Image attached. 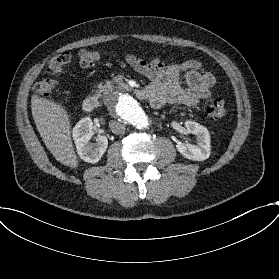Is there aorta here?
<instances>
[{
	"label": "aorta",
	"mask_w": 279,
	"mask_h": 279,
	"mask_svg": "<svg viewBox=\"0 0 279 279\" xmlns=\"http://www.w3.org/2000/svg\"><path fill=\"white\" fill-rule=\"evenodd\" d=\"M110 108L116 117L131 123L138 129L148 126L147 115L138 101L129 94H118L115 99L111 101Z\"/></svg>",
	"instance_id": "1"
}]
</instances>
